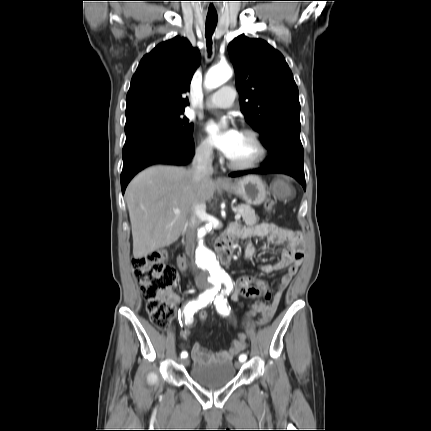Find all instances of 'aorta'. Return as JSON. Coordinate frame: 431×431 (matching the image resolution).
<instances>
[{
  "mask_svg": "<svg viewBox=\"0 0 431 431\" xmlns=\"http://www.w3.org/2000/svg\"><path fill=\"white\" fill-rule=\"evenodd\" d=\"M232 76V69L229 65H217L209 69L205 77V87L207 89H215ZM212 228L209 225L202 226L197 234L199 245L195 252L197 265L204 270L207 275V284L209 287L218 286L227 279V274L222 269L215 253L205 244Z\"/></svg>",
  "mask_w": 431,
  "mask_h": 431,
  "instance_id": "obj_1",
  "label": "aorta"
}]
</instances>
